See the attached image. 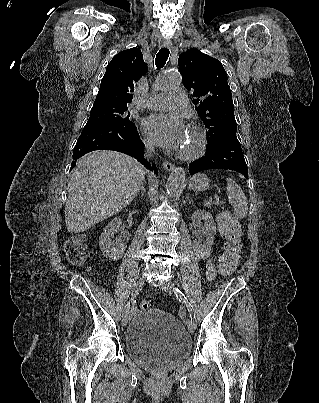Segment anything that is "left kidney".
Segmentation results:
<instances>
[{"label":"left kidney","mask_w":319,"mask_h":403,"mask_svg":"<svg viewBox=\"0 0 319 403\" xmlns=\"http://www.w3.org/2000/svg\"><path fill=\"white\" fill-rule=\"evenodd\" d=\"M192 221L194 224H199L202 221L204 222L205 231L203 237L205 238V241L193 243L195 255L200 259H204L210 255L211 248L214 244L216 226L214 224L213 216L204 210H196L192 214Z\"/></svg>","instance_id":"1"}]
</instances>
